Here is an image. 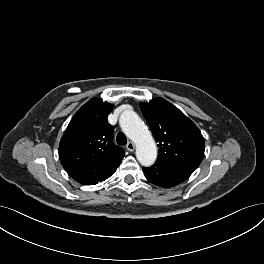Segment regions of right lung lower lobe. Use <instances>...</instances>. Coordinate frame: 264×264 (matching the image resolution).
<instances>
[{"instance_id":"98d812e1","label":"right lung lower lobe","mask_w":264,"mask_h":264,"mask_svg":"<svg viewBox=\"0 0 264 264\" xmlns=\"http://www.w3.org/2000/svg\"><path fill=\"white\" fill-rule=\"evenodd\" d=\"M117 167L115 169H113L110 173H108L106 176H104L103 178H101L100 180L96 181L95 183L93 184H96L98 183L99 181H104L106 180L108 177H110L115 171H116ZM93 184H90V185H93Z\"/></svg>"}]
</instances>
